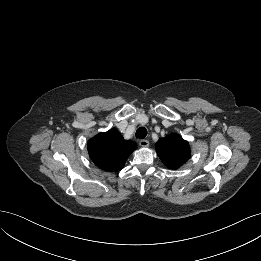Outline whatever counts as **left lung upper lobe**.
I'll return each instance as SVG.
<instances>
[{
    "label": "left lung upper lobe",
    "instance_id": "obj_1",
    "mask_svg": "<svg viewBox=\"0 0 261 261\" xmlns=\"http://www.w3.org/2000/svg\"><path fill=\"white\" fill-rule=\"evenodd\" d=\"M156 151L162 162L170 169H177L190 158L189 143L177 134L159 139Z\"/></svg>",
    "mask_w": 261,
    "mask_h": 261
}]
</instances>
